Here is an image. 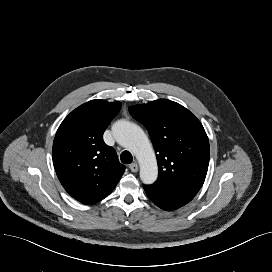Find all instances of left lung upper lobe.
<instances>
[{
    "instance_id": "5c2ea615",
    "label": "left lung upper lobe",
    "mask_w": 272,
    "mask_h": 272,
    "mask_svg": "<svg viewBox=\"0 0 272 272\" xmlns=\"http://www.w3.org/2000/svg\"><path fill=\"white\" fill-rule=\"evenodd\" d=\"M148 130L159 175L156 183L173 184L198 192L209 165L210 147L200 121L182 105L160 99L129 107Z\"/></svg>"
}]
</instances>
